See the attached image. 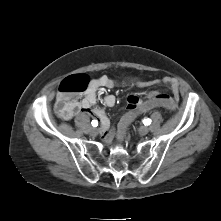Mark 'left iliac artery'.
<instances>
[{
	"instance_id": "left-iliac-artery-1",
	"label": "left iliac artery",
	"mask_w": 221,
	"mask_h": 221,
	"mask_svg": "<svg viewBox=\"0 0 221 221\" xmlns=\"http://www.w3.org/2000/svg\"><path fill=\"white\" fill-rule=\"evenodd\" d=\"M144 124L145 125H150L151 124V119L150 118L145 119Z\"/></svg>"
}]
</instances>
